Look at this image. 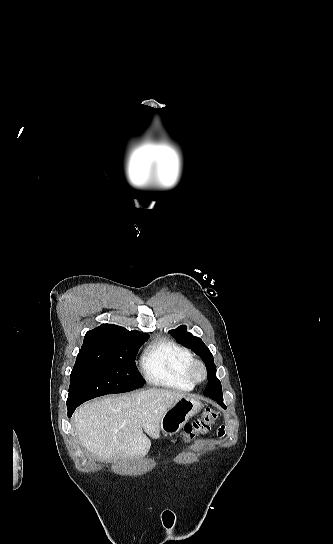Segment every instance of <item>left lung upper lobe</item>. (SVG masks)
Returning a JSON list of instances; mask_svg holds the SVG:
<instances>
[{
    "label": "left lung upper lobe",
    "instance_id": "5c2ea615",
    "mask_svg": "<svg viewBox=\"0 0 333 544\" xmlns=\"http://www.w3.org/2000/svg\"><path fill=\"white\" fill-rule=\"evenodd\" d=\"M169 332L176 338L178 343L194 351L205 363L208 371V384L204 390V394L222 392L221 382L216 377V365L214 364L213 356L203 341L199 337H195L191 333L186 332V326H180Z\"/></svg>",
    "mask_w": 333,
    "mask_h": 544
}]
</instances>
